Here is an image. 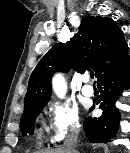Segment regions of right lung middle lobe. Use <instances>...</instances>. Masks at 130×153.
<instances>
[{
  "mask_svg": "<svg viewBox=\"0 0 130 153\" xmlns=\"http://www.w3.org/2000/svg\"><path fill=\"white\" fill-rule=\"evenodd\" d=\"M44 105H36L24 111L20 123V128L24 135L27 133L33 134L35 119L44 108Z\"/></svg>",
  "mask_w": 130,
  "mask_h": 153,
  "instance_id": "dd1d6c3e",
  "label": "right lung middle lobe"
}]
</instances>
